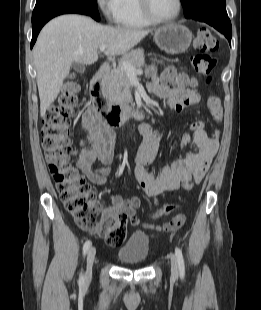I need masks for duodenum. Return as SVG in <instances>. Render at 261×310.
I'll list each match as a JSON object with an SVG mask.
<instances>
[{
    "mask_svg": "<svg viewBox=\"0 0 261 310\" xmlns=\"http://www.w3.org/2000/svg\"><path fill=\"white\" fill-rule=\"evenodd\" d=\"M110 66L103 63L90 81V96L93 102L87 119L92 127L103 132L107 128L118 127L130 118H143V110L132 104H113L106 92L105 79Z\"/></svg>",
    "mask_w": 261,
    "mask_h": 310,
    "instance_id": "duodenum-1",
    "label": "duodenum"
}]
</instances>
